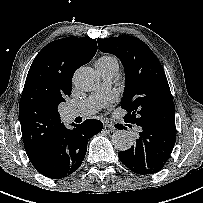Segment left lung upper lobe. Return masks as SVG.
<instances>
[{"label": "left lung upper lobe", "mask_w": 203, "mask_h": 203, "mask_svg": "<svg viewBox=\"0 0 203 203\" xmlns=\"http://www.w3.org/2000/svg\"><path fill=\"white\" fill-rule=\"evenodd\" d=\"M100 51L122 62L125 90L121 107L126 123L175 129V107L163 67L152 50L139 38L118 36L97 39Z\"/></svg>", "instance_id": "obj_1"}]
</instances>
